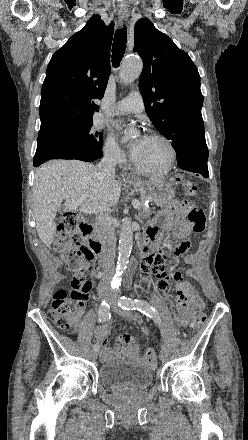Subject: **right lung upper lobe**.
I'll list each match as a JSON object with an SVG mask.
<instances>
[{"label":"right lung upper lobe","mask_w":248,"mask_h":440,"mask_svg":"<svg viewBox=\"0 0 248 440\" xmlns=\"http://www.w3.org/2000/svg\"><path fill=\"white\" fill-rule=\"evenodd\" d=\"M114 23L93 16L56 51L47 67L40 101V131H55L92 121L110 75Z\"/></svg>","instance_id":"1"}]
</instances>
